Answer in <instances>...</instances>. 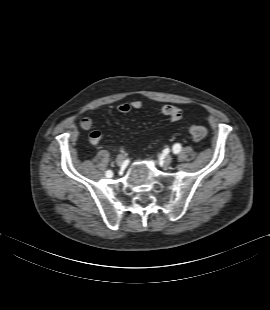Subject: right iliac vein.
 <instances>
[{
	"mask_svg": "<svg viewBox=\"0 0 270 310\" xmlns=\"http://www.w3.org/2000/svg\"><path fill=\"white\" fill-rule=\"evenodd\" d=\"M124 160H125V156L123 154L118 155L116 158V162L118 165H122L124 163Z\"/></svg>",
	"mask_w": 270,
	"mask_h": 310,
	"instance_id": "1",
	"label": "right iliac vein"
}]
</instances>
